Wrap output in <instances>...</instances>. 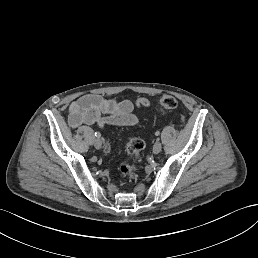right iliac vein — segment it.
<instances>
[{
  "instance_id": "obj_1",
  "label": "right iliac vein",
  "mask_w": 258,
  "mask_h": 258,
  "mask_svg": "<svg viewBox=\"0 0 258 258\" xmlns=\"http://www.w3.org/2000/svg\"><path fill=\"white\" fill-rule=\"evenodd\" d=\"M93 143H94V145H95L96 148H101V147H102V142H101V140L98 139V138L95 139Z\"/></svg>"
}]
</instances>
